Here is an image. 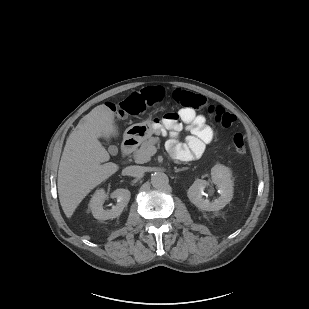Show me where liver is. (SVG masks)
<instances>
[{
    "label": "liver",
    "mask_w": 309,
    "mask_h": 309,
    "mask_svg": "<svg viewBox=\"0 0 309 309\" xmlns=\"http://www.w3.org/2000/svg\"><path fill=\"white\" fill-rule=\"evenodd\" d=\"M117 135L114 112L104 104L84 116L69 135L57 180L60 204L67 218H71L92 189L118 171L117 164L104 163L110 156L98 140Z\"/></svg>",
    "instance_id": "1"
}]
</instances>
